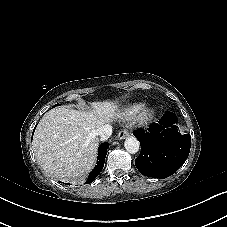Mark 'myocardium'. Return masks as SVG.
<instances>
[{
    "mask_svg": "<svg viewBox=\"0 0 227 227\" xmlns=\"http://www.w3.org/2000/svg\"><path fill=\"white\" fill-rule=\"evenodd\" d=\"M154 116V107L150 105H145L135 112L132 117V123L138 127H145L153 120Z\"/></svg>",
    "mask_w": 227,
    "mask_h": 227,
    "instance_id": "obj_1",
    "label": "myocardium"
}]
</instances>
